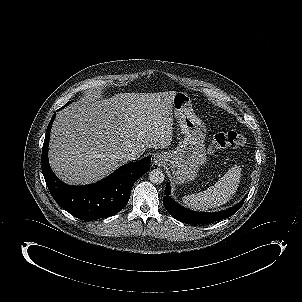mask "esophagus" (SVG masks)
Here are the masks:
<instances>
[{"mask_svg":"<svg viewBox=\"0 0 302 302\" xmlns=\"http://www.w3.org/2000/svg\"><path fill=\"white\" fill-rule=\"evenodd\" d=\"M153 163L157 166H162L165 163V157L161 154H156L153 157Z\"/></svg>","mask_w":302,"mask_h":302,"instance_id":"esophagus-1","label":"esophagus"}]
</instances>
